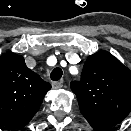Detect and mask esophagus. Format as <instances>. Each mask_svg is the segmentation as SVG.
Here are the masks:
<instances>
[{
	"instance_id": "esophagus-1",
	"label": "esophagus",
	"mask_w": 131,
	"mask_h": 131,
	"mask_svg": "<svg viewBox=\"0 0 131 131\" xmlns=\"http://www.w3.org/2000/svg\"><path fill=\"white\" fill-rule=\"evenodd\" d=\"M62 87H63L62 82H53V83H52V88H53V89H60V88H62Z\"/></svg>"
}]
</instances>
